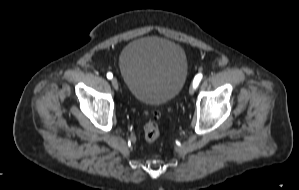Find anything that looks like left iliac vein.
Masks as SVG:
<instances>
[{"label": "left iliac vein", "instance_id": "left-iliac-vein-1", "mask_svg": "<svg viewBox=\"0 0 299 190\" xmlns=\"http://www.w3.org/2000/svg\"><path fill=\"white\" fill-rule=\"evenodd\" d=\"M194 91H195V88L193 86H191L189 89V93L192 95L194 93Z\"/></svg>", "mask_w": 299, "mask_h": 190}]
</instances>
